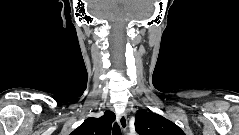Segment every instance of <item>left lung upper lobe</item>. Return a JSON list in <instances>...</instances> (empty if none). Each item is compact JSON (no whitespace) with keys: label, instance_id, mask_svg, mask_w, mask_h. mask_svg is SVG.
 <instances>
[{"label":"left lung upper lobe","instance_id":"left-lung-upper-lobe-1","mask_svg":"<svg viewBox=\"0 0 239 135\" xmlns=\"http://www.w3.org/2000/svg\"><path fill=\"white\" fill-rule=\"evenodd\" d=\"M135 130L139 135H185L176 124L151 111L136 113Z\"/></svg>","mask_w":239,"mask_h":135}]
</instances>
